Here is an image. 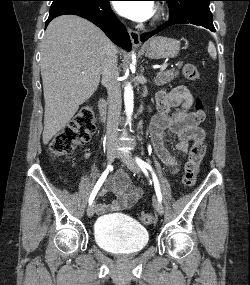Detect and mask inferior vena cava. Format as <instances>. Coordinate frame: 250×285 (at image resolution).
I'll return each mask as SVG.
<instances>
[{
  "instance_id": "obj_1",
  "label": "inferior vena cava",
  "mask_w": 250,
  "mask_h": 285,
  "mask_svg": "<svg viewBox=\"0 0 250 285\" xmlns=\"http://www.w3.org/2000/svg\"><path fill=\"white\" fill-rule=\"evenodd\" d=\"M102 83L108 92V118H107V142L112 144L118 138V125L121 112V88L118 80L117 50L114 48L106 56L101 64Z\"/></svg>"
}]
</instances>
